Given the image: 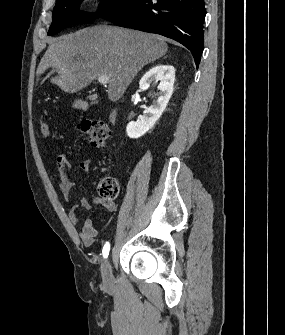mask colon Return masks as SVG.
I'll list each match as a JSON object with an SVG mask.
<instances>
[{
    "label": "colon",
    "instance_id": "colon-1",
    "mask_svg": "<svg viewBox=\"0 0 285 335\" xmlns=\"http://www.w3.org/2000/svg\"><path fill=\"white\" fill-rule=\"evenodd\" d=\"M39 128L43 137L49 136L50 128L46 121H41ZM77 130L86 136L90 144L94 147L104 146L110 137V130L102 121L83 120L78 123ZM98 193L104 200H115L119 194V183L117 179L110 176L103 177L98 183Z\"/></svg>",
    "mask_w": 285,
    "mask_h": 335
}]
</instances>
